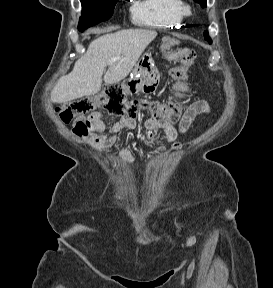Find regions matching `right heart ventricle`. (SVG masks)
<instances>
[{
	"label": "right heart ventricle",
	"instance_id": "obj_1",
	"mask_svg": "<svg viewBox=\"0 0 273 288\" xmlns=\"http://www.w3.org/2000/svg\"><path fill=\"white\" fill-rule=\"evenodd\" d=\"M184 6L182 0H135L132 19L142 26L170 28L182 23Z\"/></svg>",
	"mask_w": 273,
	"mask_h": 288
}]
</instances>
